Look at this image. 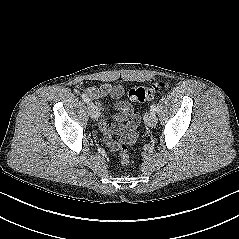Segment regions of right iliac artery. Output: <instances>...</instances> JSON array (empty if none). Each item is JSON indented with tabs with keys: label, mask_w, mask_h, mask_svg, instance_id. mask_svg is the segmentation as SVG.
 <instances>
[{
	"label": "right iliac artery",
	"mask_w": 239,
	"mask_h": 239,
	"mask_svg": "<svg viewBox=\"0 0 239 239\" xmlns=\"http://www.w3.org/2000/svg\"><path fill=\"white\" fill-rule=\"evenodd\" d=\"M81 97H82L84 102H86V103L90 102V99H89V97L86 94H82Z\"/></svg>",
	"instance_id": "right-iliac-artery-1"
}]
</instances>
